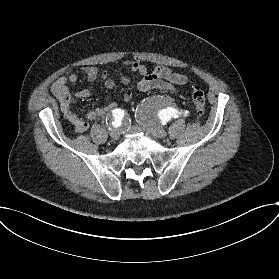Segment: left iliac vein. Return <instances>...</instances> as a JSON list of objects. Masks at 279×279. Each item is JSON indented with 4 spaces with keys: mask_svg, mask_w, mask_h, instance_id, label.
Returning a JSON list of instances; mask_svg holds the SVG:
<instances>
[{
    "mask_svg": "<svg viewBox=\"0 0 279 279\" xmlns=\"http://www.w3.org/2000/svg\"><path fill=\"white\" fill-rule=\"evenodd\" d=\"M148 128V131L156 137L163 138L167 136V132L162 127H160V125H155L151 127L149 126Z\"/></svg>",
    "mask_w": 279,
    "mask_h": 279,
    "instance_id": "obj_1",
    "label": "left iliac vein"
}]
</instances>
